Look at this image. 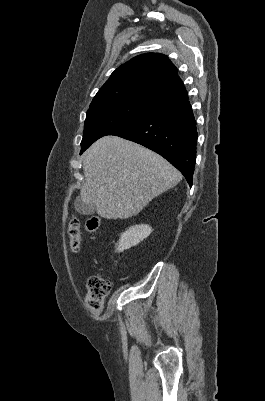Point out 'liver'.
Returning <instances> with one entry per match:
<instances>
[{"label": "liver", "instance_id": "obj_1", "mask_svg": "<svg viewBox=\"0 0 265 401\" xmlns=\"http://www.w3.org/2000/svg\"><path fill=\"white\" fill-rule=\"evenodd\" d=\"M83 172L81 201L94 203L103 219L138 215L152 198L182 178L160 154L119 136H103L93 142L85 152Z\"/></svg>", "mask_w": 265, "mask_h": 401}]
</instances>
